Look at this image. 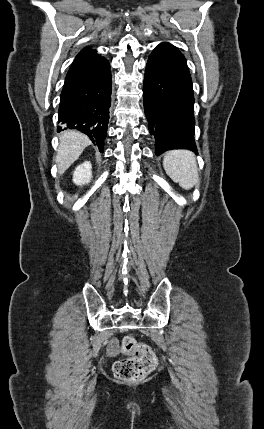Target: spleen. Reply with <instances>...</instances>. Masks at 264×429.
Instances as JSON below:
<instances>
[{
  "label": "spleen",
  "instance_id": "spleen-1",
  "mask_svg": "<svg viewBox=\"0 0 264 429\" xmlns=\"http://www.w3.org/2000/svg\"><path fill=\"white\" fill-rule=\"evenodd\" d=\"M163 166L170 178L190 190L199 182L195 155L188 150H171L164 156Z\"/></svg>",
  "mask_w": 264,
  "mask_h": 429
}]
</instances>
